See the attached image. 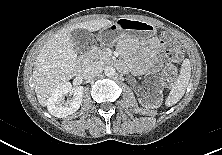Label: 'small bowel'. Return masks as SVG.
Returning a JSON list of instances; mask_svg holds the SVG:
<instances>
[{
	"label": "small bowel",
	"mask_w": 222,
	"mask_h": 155,
	"mask_svg": "<svg viewBox=\"0 0 222 155\" xmlns=\"http://www.w3.org/2000/svg\"><path fill=\"white\" fill-rule=\"evenodd\" d=\"M146 56H147V65L154 68L157 63V53H158V43L157 40L152 39L149 41L146 49Z\"/></svg>",
	"instance_id": "small-bowel-1"
}]
</instances>
